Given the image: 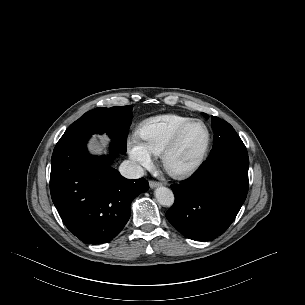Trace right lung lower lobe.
Segmentation results:
<instances>
[{
	"instance_id": "obj_1",
	"label": "right lung lower lobe",
	"mask_w": 305,
	"mask_h": 305,
	"mask_svg": "<svg viewBox=\"0 0 305 305\" xmlns=\"http://www.w3.org/2000/svg\"><path fill=\"white\" fill-rule=\"evenodd\" d=\"M88 139L55 146L50 192L69 231L84 243L100 244L119 234L130 218L132 200L149 184L143 178L126 179L111 166L121 153L113 141L110 155L98 157L89 154Z\"/></svg>"
}]
</instances>
